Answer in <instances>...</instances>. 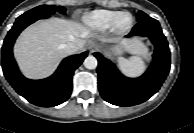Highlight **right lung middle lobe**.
I'll use <instances>...</instances> for the list:
<instances>
[{
	"instance_id": "1",
	"label": "right lung middle lobe",
	"mask_w": 194,
	"mask_h": 133,
	"mask_svg": "<svg viewBox=\"0 0 194 133\" xmlns=\"http://www.w3.org/2000/svg\"><path fill=\"white\" fill-rule=\"evenodd\" d=\"M56 11L65 14L66 8L62 6L56 7L55 5H40L38 7H35L18 18H26V19H33V18H42L44 16H50L54 14Z\"/></svg>"
}]
</instances>
